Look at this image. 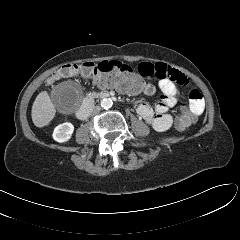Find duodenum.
<instances>
[{"instance_id":"410a0bca","label":"duodenum","mask_w":240,"mask_h":240,"mask_svg":"<svg viewBox=\"0 0 240 240\" xmlns=\"http://www.w3.org/2000/svg\"><path fill=\"white\" fill-rule=\"evenodd\" d=\"M95 97L99 98V99H106V98L110 97V94L107 91H103V92L96 94ZM93 102H94V97L86 98V100L84 101L82 106L77 110L76 116L81 120L86 119L90 113L92 106H93Z\"/></svg>"}]
</instances>
